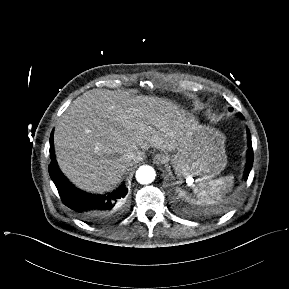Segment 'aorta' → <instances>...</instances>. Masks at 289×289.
<instances>
[{"instance_id": "762f6f07", "label": "aorta", "mask_w": 289, "mask_h": 289, "mask_svg": "<svg viewBox=\"0 0 289 289\" xmlns=\"http://www.w3.org/2000/svg\"><path fill=\"white\" fill-rule=\"evenodd\" d=\"M155 170L149 165H143L136 171V180L140 184H149L155 179Z\"/></svg>"}]
</instances>
